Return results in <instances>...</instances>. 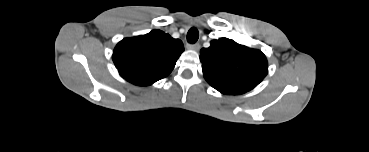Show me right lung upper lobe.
<instances>
[{"mask_svg":"<svg viewBox=\"0 0 369 152\" xmlns=\"http://www.w3.org/2000/svg\"><path fill=\"white\" fill-rule=\"evenodd\" d=\"M184 51L181 40L173 39L160 30L125 38L114 49L113 61L127 81L148 86L166 77Z\"/></svg>","mask_w":369,"mask_h":152,"instance_id":"cb5924a9","label":"right lung upper lobe"}]
</instances>
